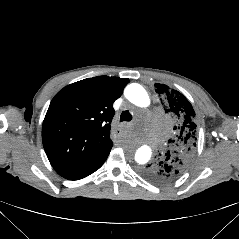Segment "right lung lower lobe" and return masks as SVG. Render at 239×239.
<instances>
[{
	"label": "right lung lower lobe",
	"instance_id": "1",
	"mask_svg": "<svg viewBox=\"0 0 239 239\" xmlns=\"http://www.w3.org/2000/svg\"><path fill=\"white\" fill-rule=\"evenodd\" d=\"M111 148H112V144L110 146L106 147L101 153H99L96 157H94L88 163L71 171L70 173L64 175L63 177L68 180H79V179L85 178L88 175L94 173L106 161Z\"/></svg>",
	"mask_w": 239,
	"mask_h": 239
}]
</instances>
